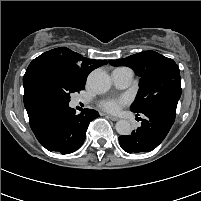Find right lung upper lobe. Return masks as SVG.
<instances>
[{"label":"right lung upper lobe","instance_id":"cb5924a9","mask_svg":"<svg viewBox=\"0 0 201 201\" xmlns=\"http://www.w3.org/2000/svg\"><path fill=\"white\" fill-rule=\"evenodd\" d=\"M46 62L57 63L70 77L84 84L88 74L93 69L108 63L104 60H92L85 58L66 47L52 49L35 58L28 66L23 77L24 92L28 89L26 87V80L29 73L38 65Z\"/></svg>","mask_w":201,"mask_h":201}]
</instances>
